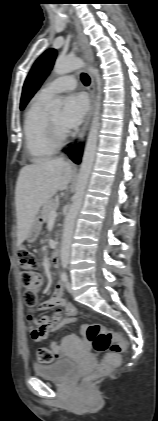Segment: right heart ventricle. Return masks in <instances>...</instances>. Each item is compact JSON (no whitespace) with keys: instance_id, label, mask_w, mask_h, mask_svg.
I'll return each instance as SVG.
<instances>
[{"instance_id":"obj_1","label":"right heart ventricle","mask_w":158,"mask_h":421,"mask_svg":"<svg viewBox=\"0 0 158 421\" xmlns=\"http://www.w3.org/2000/svg\"><path fill=\"white\" fill-rule=\"evenodd\" d=\"M48 98L39 93L32 99L24 119L25 149L33 162H41L55 153L47 134V113L45 104Z\"/></svg>"}]
</instances>
